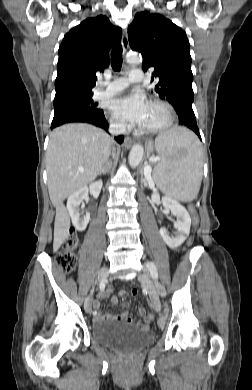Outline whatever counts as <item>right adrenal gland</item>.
<instances>
[{
  "label": "right adrenal gland",
  "mask_w": 252,
  "mask_h": 390,
  "mask_svg": "<svg viewBox=\"0 0 252 390\" xmlns=\"http://www.w3.org/2000/svg\"><path fill=\"white\" fill-rule=\"evenodd\" d=\"M111 165H112V163L109 162L107 164V166H105L104 168L101 169V171L99 172V175L101 176V175L107 174L110 171Z\"/></svg>",
  "instance_id": "right-adrenal-gland-1"
}]
</instances>
